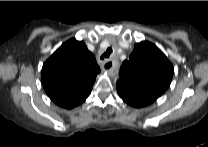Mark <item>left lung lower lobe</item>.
Masks as SVG:
<instances>
[{
    "mask_svg": "<svg viewBox=\"0 0 208 147\" xmlns=\"http://www.w3.org/2000/svg\"><path fill=\"white\" fill-rule=\"evenodd\" d=\"M117 91L119 96L127 104L136 108L147 106L156 100V98L152 96L119 85H117Z\"/></svg>",
    "mask_w": 208,
    "mask_h": 147,
    "instance_id": "left-lung-lower-lobe-1",
    "label": "left lung lower lobe"
}]
</instances>
